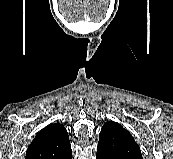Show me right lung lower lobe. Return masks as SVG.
<instances>
[{
  "instance_id": "obj_1",
  "label": "right lung lower lobe",
  "mask_w": 173,
  "mask_h": 159,
  "mask_svg": "<svg viewBox=\"0 0 173 159\" xmlns=\"http://www.w3.org/2000/svg\"><path fill=\"white\" fill-rule=\"evenodd\" d=\"M59 159H71V150L63 156H61Z\"/></svg>"
}]
</instances>
